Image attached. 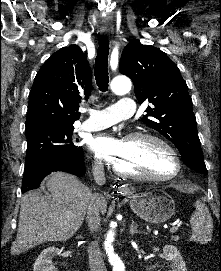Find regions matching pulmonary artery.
<instances>
[{
    "instance_id": "e3ab8cb5",
    "label": "pulmonary artery",
    "mask_w": 221,
    "mask_h": 271,
    "mask_svg": "<svg viewBox=\"0 0 221 271\" xmlns=\"http://www.w3.org/2000/svg\"><path fill=\"white\" fill-rule=\"evenodd\" d=\"M131 101V98H119L117 107H107V112H89L88 121H82L81 125L84 129L98 131L114 126L115 122H125V117H133L136 112L135 102Z\"/></svg>"
}]
</instances>
